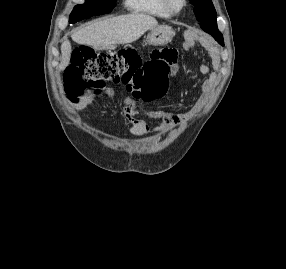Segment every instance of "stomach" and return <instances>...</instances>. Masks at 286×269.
I'll return each instance as SVG.
<instances>
[{"label": "stomach", "instance_id": "1", "mask_svg": "<svg viewBox=\"0 0 286 269\" xmlns=\"http://www.w3.org/2000/svg\"><path fill=\"white\" fill-rule=\"evenodd\" d=\"M174 36V31L167 25L153 27L146 37V41L154 46L167 44Z\"/></svg>", "mask_w": 286, "mask_h": 269}]
</instances>
